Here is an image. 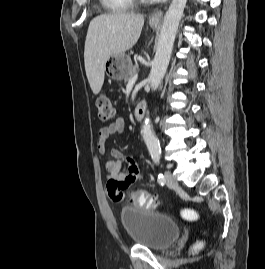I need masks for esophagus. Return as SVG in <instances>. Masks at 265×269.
I'll list each match as a JSON object with an SVG mask.
<instances>
[{
    "label": "esophagus",
    "instance_id": "esophagus-1",
    "mask_svg": "<svg viewBox=\"0 0 265 269\" xmlns=\"http://www.w3.org/2000/svg\"><path fill=\"white\" fill-rule=\"evenodd\" d=\"M162 18H163V12L161 10H157L149 16V22L156 24L161 22Z\"/></svg>",
    "mask_w": 265,
    "mask_h": 269
}]
</instances>
